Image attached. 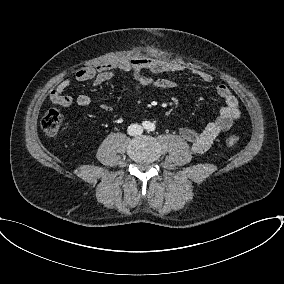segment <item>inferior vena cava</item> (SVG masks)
<instances>
[{
	"label": "inferior vena cava",
	"instance_id": "inferior-vena-cava-1",
	"mask_svg": "<svg viewBox=\"0 0 284 284\" xmlns=\"http://www.w3.org/2000/svg\"><path fill=\"white\" fill-rule=\"evenodd\" d=\"M127 132L130 136L140 135L143 132L142 126L138 124H131L128 126Z\"/></svg>",
	"mask_w": 284,
	"mask_h": 284
}]
</instances>
